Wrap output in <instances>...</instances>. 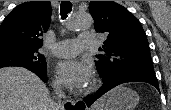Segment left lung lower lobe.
Wrapping results in <instances>:
<instances>
[{"mask_svg": "<svg viewBox=\"0 0 171 110\" xmlns=\"http://www.w3.org/2000/svg\"><path fill=\"white\" fill-rule=\"evenodd\" d=\"M137 81L149 83L155 86L157 90H159L158 81L154 70H125L103 79L102 87L94 95L84 100L85 105L89 107L99 97L117 85L126 82Z\"/></svg>", "mask_w": 171, "mask_h": 110, "instance_id": "obj_1", "label": "left lung lower lobe"}]
</instances>
